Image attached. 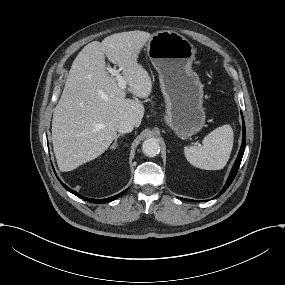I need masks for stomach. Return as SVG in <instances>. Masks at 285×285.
<instances>
[{
  "instance_id": "1",
  "label": "stomach",
  "mask_w": 285,
  "mask_h": 285,
  "mask_svg": "<svg viewBox=\"0 0 285 285\" xmlns=\"http://www.w3.org/2000/svg\"><path fill=\"white\" fill-rule=\"evenodd\" d=\"M146 52L159 74L165 122L179 138L186 139L205 124L203 85L192 70L196 50L184 36L162 30L151 35Z\"/></svg>"
}]
</instances>
